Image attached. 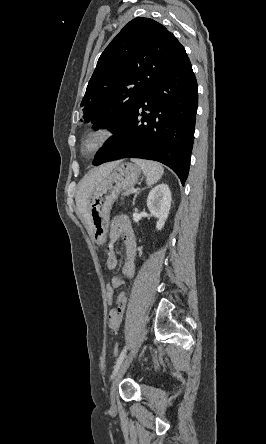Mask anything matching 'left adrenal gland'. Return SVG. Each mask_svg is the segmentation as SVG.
<instances>
[{
  "instance_id": "a2214340",
  "label": "left adrenal gland",
  "mask_w": 266,
  "mask_h": 444,
  "mask_svg": "<svg viewBox=\"0 0 266 444\" xmlns=\"http://www.w3.org/2000/svg\"><path fill=\"white\" fill-rule=\"evenodd\" d=\"M137 194L135 195L134 199H133V205L135 204V198H136Z\"/></svg>"
}]
</instances>
